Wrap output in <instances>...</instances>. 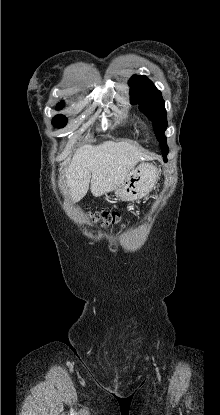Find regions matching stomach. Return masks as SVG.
Wrapping results in <instances>:
<instances>
[{
    "instance_id": "stomach-1",
    "label": "stomach",
    "mask_w": 220,
    "mask_h": 415,
    "mask_svg": "<svg viewBox=\"0 0 220 415\" xmlns=\"http://www.w3.org/2000/svg\"><path fill=\"white\" fill-rule=\"evenodd\" d=\"M159 172L150 163H143L130 171L124 182L115 188L122 200L134 201L146 196L156 185Z\"/></svg>"
}]
</instances>
